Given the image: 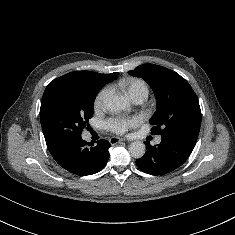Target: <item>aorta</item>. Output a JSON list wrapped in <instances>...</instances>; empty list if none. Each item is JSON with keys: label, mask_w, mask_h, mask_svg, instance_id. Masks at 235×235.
<instances>
[{"label": "aorta", "mask_w": 235, "mask_h": 235, "mask_svg": "<svg viewBox=\"0 0 235 235\" xmlns=\"http://www.w3.org/2000/svg\"><path fill=\"white\" fill-rule=\"evenodd\" d=\"M105 108L111 113H117L124 110L128 102L120 95L110 94L104 100ZM146 146L141 141H134L129 145V153L133 158L139 159L144 156Z\"/></svg>", "instance_id": "obj_1"}]
</instances>
